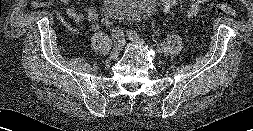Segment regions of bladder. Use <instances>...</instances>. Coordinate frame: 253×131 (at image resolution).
<instances>
[{
    "instance_id": "bladder-1",
    "label": "bladder",
    "mask_w": 253,
    "mask_h": 131,
    "mask_svg": "<svg viewBox=\"0 0 253 131\" xmlns=\"http://www.w3.org/2000/svg\"><path fill=\"white\" fill-rule=\"evenodd\" d=\"M154 11L150 0H109L104 14L111 20H134L150 16Z\"/></svg>"
}]
</instances>
